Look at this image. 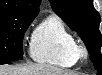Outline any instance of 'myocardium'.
Listing matches in <instances>:
<instances>
[{
	"instance_id": "f54148a6",
	"label": "myocardium",
	"mask_w": 102,
	"mask_h": 75,
	"mask_svg": "<svg viewBox=\"0 0 102 75\" xmlns=\"http://www.w3.org/2000/svg\"><path fill=\"white\" fill-rule=\"evenodd\" d=\"M77 55H78V57L84 56L85 55V49L81 46H78Z\"/></svg>"
}]
</instances>
